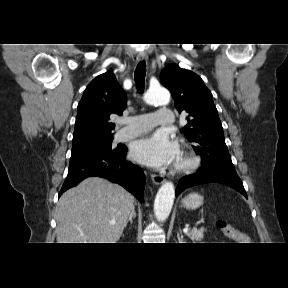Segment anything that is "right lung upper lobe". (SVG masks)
<instances>
[{
    "mask_svg": "<svg viewBox=\"0 0 288 288\" xmlns=\"http://www.w3.org/2000/svg\"><path fill=\"white\" fill-rule=\"evenodd\" d=\"M126 93L111 72L97 76L85 89L78 104L73 147L90 144L113 136L115 124L110 115H122Z\"/></svg>",
    "mask_w": 288,
    "mask_h": 288,
    "instance_id": "right-lung-upper-lobe-1",
    "label": "right lung upper lobe"
}]
</instances>
